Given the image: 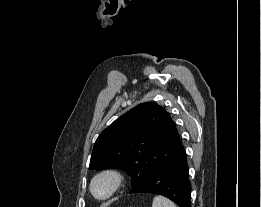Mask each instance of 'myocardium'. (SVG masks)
I'll return each instance as SVG.
<instances>
[{"mask_svg": "<svg viewBox=\"0 0 261 207\" xmlns=\"http://www.w3.org/2000/svg\"><path fill=\"white\" fill-rule=\"evenodd\" d=\"M104 180L108 183V191L103 196H98L94 191V186L98 181ZM123 182L122 174L115 169H104L93 176L89 189L91 195L99 201H105L112 197L121 187Z\"/></svg>", "mask_w": 261, "mask_h": 207, "instance_id": "f54148a6", "label": "myocardium"}]
</instances>
